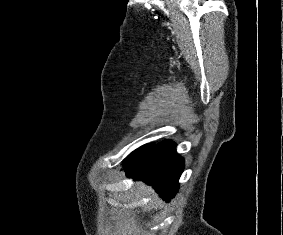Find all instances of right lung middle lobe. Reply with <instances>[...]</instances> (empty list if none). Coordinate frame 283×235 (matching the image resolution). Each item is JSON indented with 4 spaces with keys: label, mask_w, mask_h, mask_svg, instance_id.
Returning a JSON list of instances; mask_svg holds the SVG:
<instances>
[{
    "label": "right lung middle lobe",
    "mask_w": 283,
    "mask_h": 235,
    "mask_svg": "<svg viewBox=\"0 0 283 235\" xmlns=\"http://www.w3.org/2000/svg\"><path fill=\"white\" fill-rule=\"evenodd\" d=\"M152 148L151 144L144 145L134 152H132L126 159L125 162H133L139 158H141L143 155H145L150 149Z\"/></svg>",
    "instance_id": "1"
}]
</instances>
